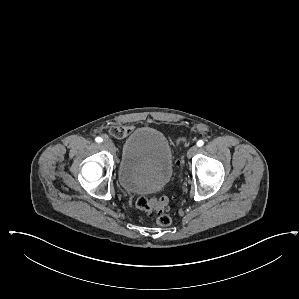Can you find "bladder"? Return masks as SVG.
Returning <instances> with one entry per match:
<instances>
[{
	"label": "bladder",
	"mask_w": 299,
	"mask_h": 299,
	"mask_svg": "<svg viewBox=\"0 0 299 299\" xmlns=\"http://www.w3.org/2000/svg\"><path fill=\"white\" fill-rule=\"evenodd\" d=\"M174 156L165 135L151 127L137 128L126 138L118 167L120 186L132 193H153L172 177Z\"/></svg>",
	"instance_id": "1"
}]
</instances>
